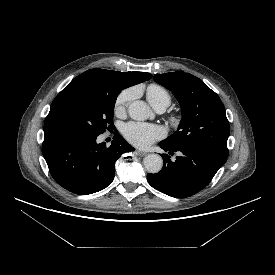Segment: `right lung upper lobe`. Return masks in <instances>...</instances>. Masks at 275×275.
<instances>
[{
  "mask_svg": "<svg viewBox=\"0 0 275 275\" xmlns=\"http://www.w3.org/2000/svg\"><path fill=\"white\" fill-rule=\"evenodd\" d=\"M152 78L150 73L119 72L104 69H90L74 78L66 87L77 85H111L119 90L142 83Z\"/></svg>",
  "mask_w": 275,
  "mask_h": 275,
  "instance_id": "1",
  "label": "right lung upper lobe"
}]
</instances>
